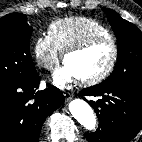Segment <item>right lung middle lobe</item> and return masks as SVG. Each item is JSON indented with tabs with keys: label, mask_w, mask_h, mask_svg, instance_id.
<instances>
[{
	"label": "right lung middle lobe",
	"mask_w": 142,
	"mask_h": 142,
	"mask_svg": "<svg viewBox=\"0 0 142 142\" xmlns=\"http://www.w3.org/2000/svg\"><path fill=\"white\" fill-rule=\"evenodd\" d=\"M31 34L25 14L0 18V87L22 83L36 74L29 53Z\"/></svg>",
	"instance_id": "obj_1"
}]
</instances>
